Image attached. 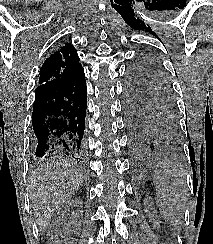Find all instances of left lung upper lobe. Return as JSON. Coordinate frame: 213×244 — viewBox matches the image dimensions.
Here are the masks:
<instances>
[{
    "mask_svg": "<svg viewBox=\"0 0 213 244\" xmlns=\"http://www.w3.org/2000/svg\"><path fill=\"white\" fill-rule=\"evenodd\" d=\"M125 108L146 120L162 140L179 136L178 108L169 76L151 55H140L129 67Z\"/></svg>",
    "mask_w": 213,
    "mask_h": 244,
    "instance_id": "obj_1",
    "label": "left lung upper lobe"
}]
</instances>
